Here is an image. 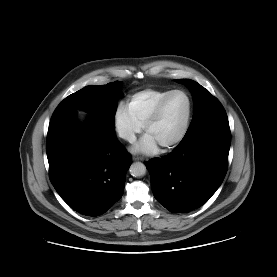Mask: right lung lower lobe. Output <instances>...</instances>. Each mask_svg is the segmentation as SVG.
<instances>
[{
  "mask_svg": "<svg viewBox=\"0 0 277 277\" xmlns=\"http://www.w3.org/2000/svg\"><path fill=\"white\" fill-rule=\"evenodd\" d=\"M49 176L55 190L75 211L99 216L122 196L132 157L115 131L74 112H54L48 129Z\"/></svg>",
  "mask_w": 277,
  "mask_h": 277,
  "instance_id": "1",
  "label": "right lung lower lobe"
}]
</instances>
